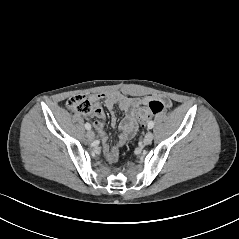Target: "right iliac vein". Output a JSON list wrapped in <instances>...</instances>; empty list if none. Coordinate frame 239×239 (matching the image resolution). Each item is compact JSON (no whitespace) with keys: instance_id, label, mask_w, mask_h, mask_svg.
Returning <instances> with one entry per match:
<instances>
[{"instance_id":"1","label":"right iliac vein","mask_w":239,"mask_h":239,"mask_svg":"<svg viewBox=\"0 0 239 239\" xmlns=\"http://www.w3.org/2000/svg\"><path fill=\"white\" fill-rule=\"evenodd\" d=\"M86 136L89 140H94L95 139V133L92 131V130H89L87 133H86Z\"/></svg>"}]
</instances>
